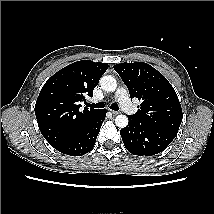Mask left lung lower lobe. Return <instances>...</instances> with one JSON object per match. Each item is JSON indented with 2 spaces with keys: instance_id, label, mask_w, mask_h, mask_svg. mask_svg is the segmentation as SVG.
Returning <instances> with one entry per match:
<instances>
[{
  "instance_id": "1",
  "label": "left lung lower lobe",
  "mask_w": 214,
  "mask_h": 214,
  "mask_svg": "<svg viewBox=\"0 0 214 214\" xmlns=\"http://www.w3.org/2000/svg\"><path fill=\"white\" fill-rule=\"evenodd\" d=\"M127 127L120 130L126 149L138 156H151L162 152L177 132L142 124L128 116Z\"/></svg>"
}]
</instances>
